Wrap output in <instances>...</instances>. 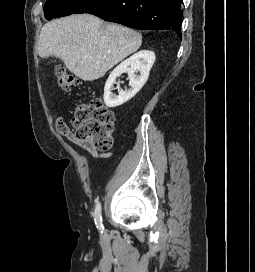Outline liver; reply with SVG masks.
<instances>
[{
    "label": "liver",
    "instance_id": "obj_1",
    "mask_svg": "<svg viewBox=\"0 0 255 272\" xmlns=\"http://www.w3.org/2000/svg\"><path fill=\"white\" fill-rule=\"evenodd\" d=\"M142 43V35L116 23L104 24L91 14H77L46 23L40 32L38 54L64 61L84 81L105 75Z\"/></svg>",
    "mask_w": 255,
    "mask_h": 272
}]
</instances>
